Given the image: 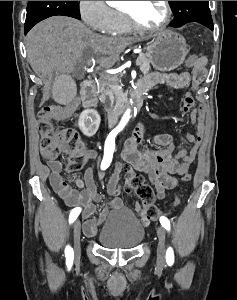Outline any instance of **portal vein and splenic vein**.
Returning a JSON list of instances; mask_svg holds the SVG:
<instances>
[{"label":"portal vein and splenic vein","instance_id":"18ae733b","mask_svg":"<svg viewBox=\"0 0 237 300\" xmlns=\"http://www.w3.org/2000/svg\"><path fill=\"white\" fill-rule=\"evenodd\" d=\"M138 65H141V62H136V64H135V67L137 68L138 67Z\"/></svg>","mask_w":237,"mask_h":300}]
</instances>
